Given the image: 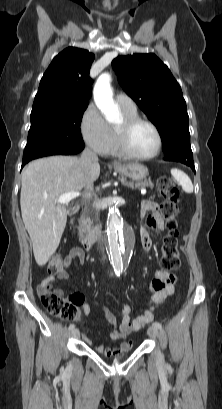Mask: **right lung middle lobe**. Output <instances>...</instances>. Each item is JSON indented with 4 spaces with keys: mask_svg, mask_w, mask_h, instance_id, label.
<instances>
[{
    "mask_svg": "<svg viewBox=\"0 0 222 409\" xmlns=\"http://www.w3.org/2000/svg\"><path fill=\"white\" fill-rule=\"evenodd\" d=\"M88 104H59L32 109L23 161L48 155H71L84 146L79 130Z\"/></svg>",
    "mask_w": 222,
    "mask_h": 409,
    "instance_id": "1",
    "label": "right lung middle lobe"
}]
</instances>
